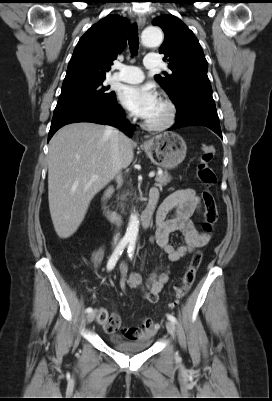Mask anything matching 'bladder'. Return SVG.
<instances>
[{"instance_id": "1", "label": "bladder", "mask_w": 272, "mask_h": 401, "mask_svg": "<svg viewBox=\"0 0 272 401\" xmlns=\"http://www.w3.org/2000/svg\"><path fill=\"white\" fill-rule=\"evenodd\" d=\"M152 343L151 338L139 340L137 342H116L114 347L126 354H135L147 350Z\"/></svg>"}]
</instances>
